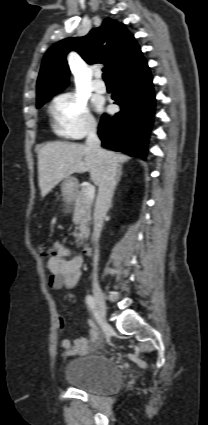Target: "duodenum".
<instances>
[{
    "instance_id": "obj_1",
    "label": "duodenum",
    "mask_w": 208,
    "mask_h": 425,
    "mask_svg": "<svg viewBox=\"0 0 208 425\" xmlns=\"http://www.w3.org/2000/svg\"><path fill=\"white\" fill-rule=\"evenodd\" d=\"M82 251H83L84 255H90L92 253V249L88 245H84L82 247Z\"/></svg>"
}]
</instances>
